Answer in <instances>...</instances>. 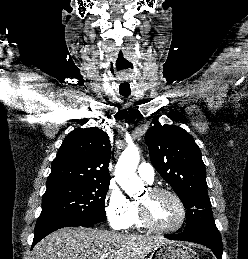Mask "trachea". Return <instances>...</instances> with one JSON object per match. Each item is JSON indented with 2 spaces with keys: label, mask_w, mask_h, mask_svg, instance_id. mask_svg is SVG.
Instances as JSON below:
<instances>
[{
  "label": "trachea",
  "mask_w": 248,
  "mask_h": 259,
  "mask_svg": "<svg viewBox=\"0 0 248 259\" xmlns=\"http://www.w3.org/2000/svg\"><path fill=\"white\" fill-rule=\"evenodd\" d=\"M121 95L124 97H128L130 95V93H122Z\"/></svg>",
  "instance_id": "3493384b"
}]
</instances>
